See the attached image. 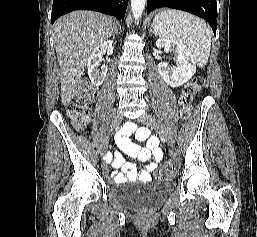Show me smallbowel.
<instances>
[{
  "mask_svg": "<svg viewBox=\"0 0 257 237\" xmlns=\"http://www.w3.org/2000/svg\"><path fill=\"white\" fill-rule=\"evenodd\" d=\"M135 131L133 124H127L121 131V135L116 136V143L120 150L108 155V162H111L114 168L120 171L113 172L111 177L116 183L126 182L128 179H138L147 182L151 179V173L157 168L162 160V151L158 147V139L150 136L145 129H138L135 133L137 141H146V146L141 147L133 143L129 136ZM125 154L137 158L140 161H149L143 168L137 169L133 164L126 162Z\"/></svg>",
  "mask_w": 257,
  "mask_h": 237,
  "instance_id": "small-bowel-1",
  "label": "small bowel"
}]
</instances>
